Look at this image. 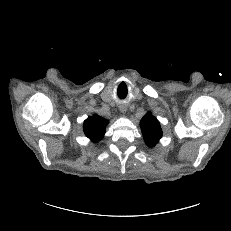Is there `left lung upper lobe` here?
I'll use <instances>...</instances> for the list:
<instances>
[{
	"instance_id": "obj_1",
	"label": "left lung upper lobe",
	"mask_w": 231,
	"mask_h": 231,
	"mask_svg": "<svg viewBox=\"0 0 231 231\" xmlns=\"http://www.w3.org/2000/svg\"><path fill=\"white\" fill-rule=\"evenodd\" d=\"M140 126L145 143L149 147L155 146L162 137L160 122L151 114V112H147L141 119Z\"/></svg>"
}]
</instances>
